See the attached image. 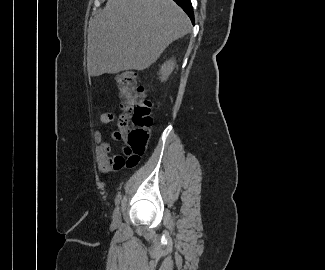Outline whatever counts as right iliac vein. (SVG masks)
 Segmentation results:
<instances>
[{
  "label": "right iliac vein",
  "instance_id": "63e3f726",
  "mask_svg": "<svg viewBox=\"0 0 325 270\" xmlns=\"http://www.w3.org/2000/svg\"><path fill=\"white\" fill-rule=\"evenodd\" d=\"M113 223L115 225H119L121 223V212H120V208L119 207H117L114 210V213H113Z\"/></svg>",
  "mask_w": 325,
  "mask_h": 270
}]
</instances>
